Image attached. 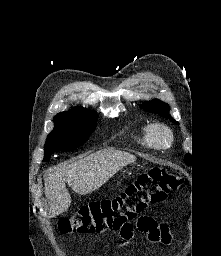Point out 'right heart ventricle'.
Masks as SVG:
<instances>
[{
    "label": "right heart ventricle",
    "instance_id": "e07e8e85",
    "mask_svg": "<svg viewBox=\"0 0 221 256\" xmlns=\"http://www.w3.org/2000/svg\"><path fill=\"white\" fill-rule=\"evenodd\" d=\"M131 137L134 139V141L137 144H139L144 148H148V149L156 148L150 135V126L148 125H143L139 127L135 132L131 134Z\"/></svg>",
    "mask_w": 221,
    "mask_h": 256
}]
</instances>
